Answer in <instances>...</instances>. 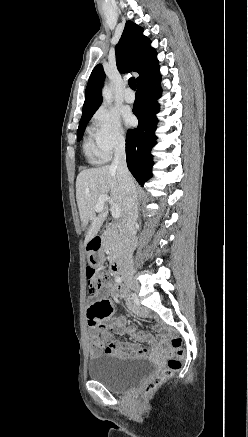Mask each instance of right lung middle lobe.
Returning <instances> with one entry per match:
<instances>
[{"label":"right lung middle lobe","instance_id":"right-lung-middle-lobe-1","mask_svg":"<svg viewBox=\"0 0 248 437\" xmlns=\"http://www.w3.org/2000/svg\"><path fill=\"white\" fill-rule=\"evenodd\" d=\"M91 117L92 116L86 117L80 121L79 127H78V132H77V141H80L82 139L85 127H86L88 121L91 119Z\"/></svg>","mask_w":248,"mask_h":437}]
</instances>
